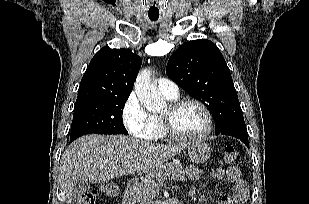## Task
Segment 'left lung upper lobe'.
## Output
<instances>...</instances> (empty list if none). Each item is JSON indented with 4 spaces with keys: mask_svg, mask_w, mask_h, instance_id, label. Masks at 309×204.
Segmentation results:
<instances>
[{
    "mask_svg": "<svg viewBox=\"0 0 309 204\" xmlns=\"http://www.w3.org/2000/svg\"><path fill=\"white\" fill-rule=\"evenodd\" d=\"M167 75L212 113L215 132L244 121L230 70L217 46L205 39L182 44L170 57Z\"/></svg>",
    "mask_w": 309,
    "mask_h": 204,
    "instance_id": "1",
    "label": "left lung upper lobe"
}]
</instances>
